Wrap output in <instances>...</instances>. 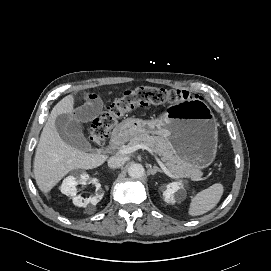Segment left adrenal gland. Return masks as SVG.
Instances as JSON below:
<instances>
[{
	"label": "left adrenal gland",
	"mask_w": 271,
	"mask_h": 271,
	"mask_svg": "<svg viewBox=\"0 0 271 271\" xmlns=\"http://www.w3.org/2000/svg\"><path fill=\"white\" fill-rule=\"evenodd\" d=\"M149 172L151 175H155L157 172L163 173V171L157 166L150 167Z\"/></svg>",
	"instance_id": "1"
}]
</instances>
